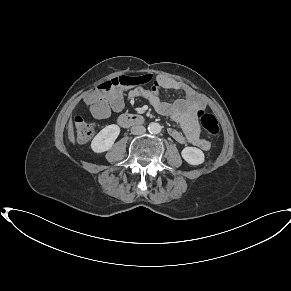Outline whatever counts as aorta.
I'll list each match as a JSON object with an SVG mask.
<instances>
[{"label": "aorta", "instance_id": "aorta-1", "mask_svg": "<svg viewBox=\"0 0 291 291\" xmlns=\"http://www.w3.org/2000/svg\"><path fill=\"white\" fill-rule=\"evenodd\" d=\"M161 129H162L161 125L159 123H155V122L150 123L149 126H148V130L152 134L160 133Z\"/></svg>", "mask_w": 291, "mask_h": 291}]
</instances>
